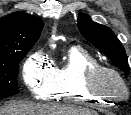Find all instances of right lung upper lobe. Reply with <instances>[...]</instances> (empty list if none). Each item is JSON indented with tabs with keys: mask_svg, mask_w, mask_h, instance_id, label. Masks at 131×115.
Instances as JSON below:
<instances>
[{
	"mask_svg": "<svg viewBox=\"0 0 131 115\" xmlns=\"http://www.w3.org/2000/svg\"><path fill=\"white\" fill-rule=\"evenodd\" d=\"M44 23L24 12L11 13L0 19V62L10 55L31 49L38 40Z\"/></svg>",
	"mask_w": 131,
	"mask_h": 115,
	"instance_id": "1",
	"label": "right lung upper lobe"
}]
</instances>
